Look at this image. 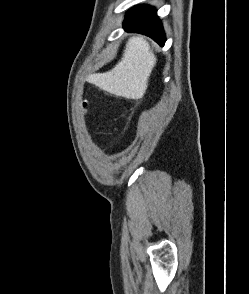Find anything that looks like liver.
<instances>
[{
	"label": "liver",
	"instance_id": "1",
	"mask_svg": "<svg viewBox=\"0 0 249 294\" xmlns=\"http://www.w3.org/2000/svg\"><path fill=\"white\" fill-rule=\"evenodd\" d=\"M155 64L156 57L146 38L134 35L129 38L117 65L108 72L90 75L89 81L116 96L138 99L146 93Z\"/></svg>",
	"mask_w": 249,
	"mask_h": 294
}]
</instances>
